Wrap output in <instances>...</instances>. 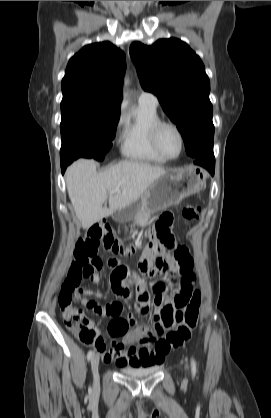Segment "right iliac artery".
<instances>
[{
	"mask_svg": "<svg viewBox=\"0 0 271 418\" xmlns=\"http://www.w3.org/2000/svg\"><path fill=\"white\" fill-rule=\"evenodd\" d=\"M94 352L92 350H90L87 354V360L90 361L91 358L93 357Z\"/></svg>",
	"mask_w": 271,
	"mask_h": 418,
	"instance_id": "right-iliac-artery-1",
	"label": "right iliac artery"
}]
</instances>
